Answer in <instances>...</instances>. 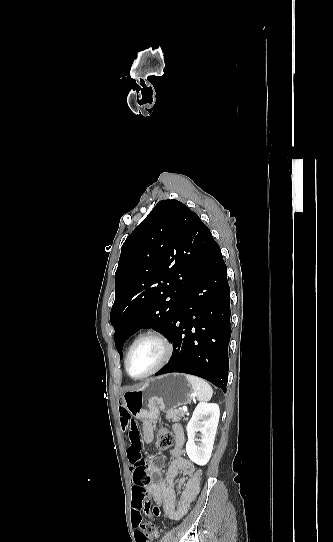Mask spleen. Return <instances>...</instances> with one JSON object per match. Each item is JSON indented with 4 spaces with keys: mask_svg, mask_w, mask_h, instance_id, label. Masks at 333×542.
Wrapping results in <instances>:
<instances>
[{
    "mask_svg": "<svg viewBox=\"0 0 333 542\" xmlns=\"http://www.w3.org/2000/svg\"><path fill=\"white\" fill-rule=\"evenodd\" d=\"M185 378L188 380L198 402H209L211 400L213 390L205 380H201L197 376H188V374H186Z\"/></svg>",
    "mask_w": 333,
    "mask_h": 542,
    "instance_id": "obj_1",
    "label": "spleen"
}]
</instances>
